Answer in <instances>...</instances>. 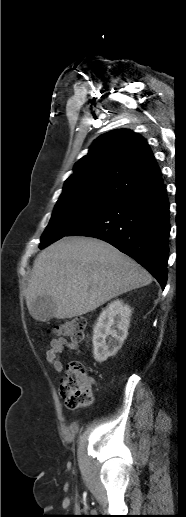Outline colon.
Wrapping results in <instances>:
<instances>
[{"mask_svg": "<svg viewBox=\"0 0 186 517\" xmlns=\"http://www.w3.org/2000/svg\"><path fill=\"white\" fill-rule=\"evenodd\" d=\"M86 321L82 318L66 321L55 326L53 334L68 337L73 342L87 339ZM59 391L66 407L74 409L93 403V382L87 376L86 365L81 361L70 362L59 384Z\"/></svg>", "mask_w": 186, "mask_h": 517, "instance_id": "5ec220e1", "label": "colon"}]
</instances>
